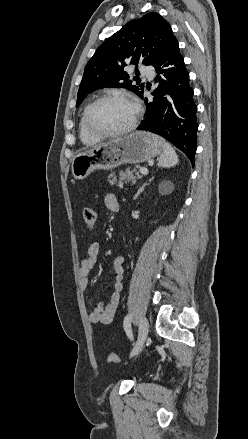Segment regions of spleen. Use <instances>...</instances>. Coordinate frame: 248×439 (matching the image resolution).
I'll use <instances>...</instances> for the list:
<instances>
[{
  "instance_id": "1",
  "label": "spleen",
  "mask_w": 248,
  "mask_h": 439,
  "mask_svg": "<svg viewBox=\"0 0 248 439\" xmlns=\"http://www.w3.org/2000/svg\"><path fill=\"white\" fill-rule=\"evenodd\" d=\"M178 162L179 160L175 150L170 144L166 143L163 153L159 158L158 166L163 168H170L174 167L176 164H178Z\"/></svg>"
}]
</instances>
